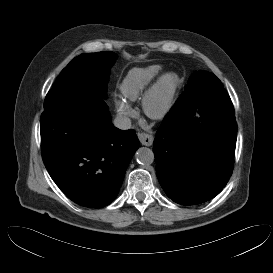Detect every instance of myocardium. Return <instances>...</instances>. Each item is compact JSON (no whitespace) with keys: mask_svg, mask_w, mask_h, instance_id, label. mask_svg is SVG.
Instances as JSON below:
<instances>
[{"mask_svg":"<svg viewBox=\"0 0 273 273\" xmlns=\"http://www.w3.org/2000/svg\"><path fill=\"white\" fill-rule=\"evenodd\" d=\"M177 85L178 77L175 74L161 75L143 96L145 114L152 119L165 116L172 107Z\"/></svg>","mask_w":273,"mask_h":273,"instance_id":"f54148a6","label":"myocardium"}]
</instances>
